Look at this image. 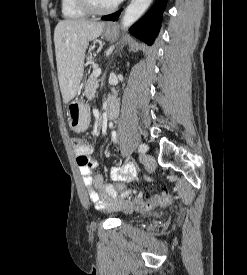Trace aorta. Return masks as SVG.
<instances>
[{
  "mask_svg": "<svg viewBox=\"0 0 247 275\" xmlns=\"http://www.w3.org/2000/svg\"><path fill=\"white\" fill-rule=\"evenodd\" d=\"M152 0H131L122 18V28L128 29L150 6Z\"/></svg>",
  "mask_w": 247,
  "mask_h": 275,
  "instance_id": "aorta-1",
  "label": "aorta"
}]
</instances>
